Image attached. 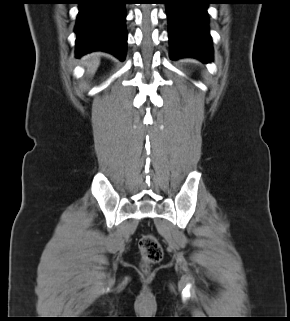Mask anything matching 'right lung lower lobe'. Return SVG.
Returning <instances> with one entry per match:
<instances>
[{
	"label": "right lung lower lobe",
	"mask_w": 290,
	"mask_h": 321,
	"mask_svg": "<svg viewBox=\"0 0 290 321\" xmlns=\"http://www.w3.org/2000/svg\"><path fill=\"white\" fill-rule=\"evenodd\" d=\"M125 0H79L76 56L101 50L125 58Z\"/></svg>",
	"instance_id": "98d812e1"
}]
</instances>
